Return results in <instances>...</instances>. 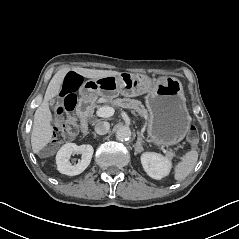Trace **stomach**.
Here are the masks:
<instances>
[{"label":"stomach","mask_w":239,"mask_h":239,"mask_svg":"<svg viewBox=\"0 0 239 239\" xmlns=\"http://www.w3.org/2000/svg\"><path fill=\"white\" fill-rule=\"evenodd\" d=\"M145 97L149 111L148 135L157 146L179 143L187 134L191 116L186 107L182 83L174 77H163L156 83L143 74L119 73L85 81L79 88L82 101L95 102L98 97L106 99L119 95Z\"/></svg>","instance_id":"stomach-1"}]
</instances>
